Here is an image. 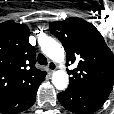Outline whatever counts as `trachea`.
<instances>
[{
    "label": "trachea",
    "instance_id": "1",
    "mask_svg": "<svg viewBox=\"0 0 114 114\" xmlns=\"http://www.w3.org/2000/svg\"><path fill=\"white\" fill-rule=\"evenodd\" d=\"M37 60L40 65H47V58L43 54H38Z\"/></svg>",
    "mask_w": 114,
    "mask_h": 114
}]
</instances>
